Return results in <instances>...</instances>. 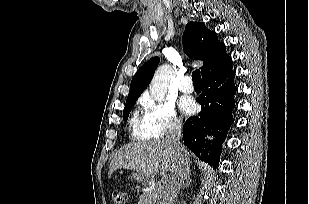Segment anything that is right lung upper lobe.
I'll list each match as a JSON object with an SVG mask.
<instances>
[{
    "instance_id": "right-lung-upper-lobe-1",
    "label": "right lung upper lobe",
    "mask_w": 309,
    "mask_h": 204,
    "mask_svg": "<svg viewBox=\"0 0 309 204\" xmlns=\"http://www.w3.org/2000/svg\"><path fill=\"white\" fill-rule=\"evenodd\" d=\"M184 50L194 60H202V79L218 73L230 65L232 59L226 54L224 43L217 40L216 32L207 29L203 23L189 22L183 35ZM159 58L154 57L141 66L134 75L127 100L137 99L147 87Z\"/></svg>"
}]
</instances>
